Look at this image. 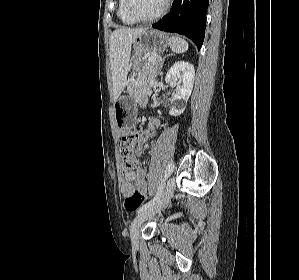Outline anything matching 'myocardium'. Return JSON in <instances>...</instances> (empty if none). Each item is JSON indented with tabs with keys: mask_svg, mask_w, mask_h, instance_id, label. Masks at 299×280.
Here are the masks:
<instances>
[{
	"mask_svg": "<svg viewBox=\"0 0 299 280\" xmlns=\"http://www.w3.org/2000/svg\"><path fill=\"white\" fill-rule=\"evenodd\" d=\"M170 1L171 0H165L162 8L155 15L148 17V18H142V17L137 16L134 13L133 8H132L133 0H126V12L129 15V17L136 23H148V22H152V21H155V20L161 18L167 11Z\"/></svg>",
	"mask_w": 299,
	"mask_h": 280,
	"instance_id": "obj_1",
	"label": "myocardium"
}]
</instances>
